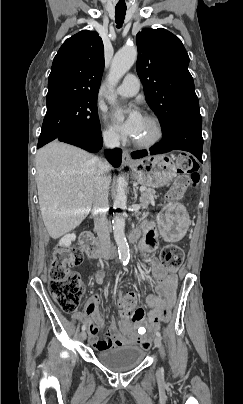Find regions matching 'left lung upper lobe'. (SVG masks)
I'll use <instances>...</instances> for the list:
<instances>
[{
    "mask_svg": "<svg viewBox=\"0 0 243 404\" xmlns=\"http://www.w3.org/2000/svg\"><path fill=\"white\" fill-rule=\"evenodd\" d=\"M140 77L146 100L162 130L182 116H201L189 56L178 37L163 29H143L136 35Z\"/></svg>",
    "mask_w": 243,
    "mask_h": 404,
    "instance_id": "1",
    "label": "left lung upper lobe"
}]
</instances>
